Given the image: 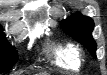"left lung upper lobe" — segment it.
Returning a JSON list of instances; mask_svg holds the SVG:
<instances>
[{"instance_id": "1", "label": "left lung upper lobe", "mask_w": 107, "mask_h": 75, "mask_svg": "<svg viewBox=\"0 0 107 75\" xmlns=\"http://www.w3.org/2000/svg\"><path fill=\"white\" fill-rule=\"evenodd\" d=\"M62 28L68 35L84 45L96 58V43L92 38L94 22L91 18L74 14L62 21Z\"/></svg>"}]
</instances>
